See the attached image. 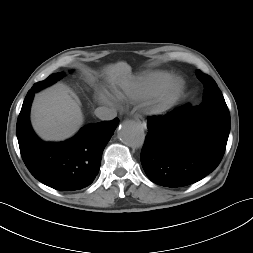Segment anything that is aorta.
Here are the masks:
<instances>
[{"label":"aorta","mask_w":253,"mask_h":253,"mask_svg":"<svg viewBox=\"0 0 253 253\" xmlns=\"http://www.w3.org/2000/svg\"><path fill=\"white\" fill-rule=\"evenodd\" d=\"M118 136L123 143L130 147L139 148L145 140V132L141 123L127 120L120 125Z\"/></svg>","instance_id":"762f6f07"}]
</instances>
